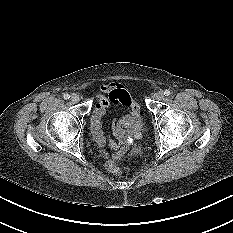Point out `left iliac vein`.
<instances>
[{"mask_svg":"<svg viewBox=\"0 0 233 233\" xmlns=\"http://www.w3.org/2000/svg\"><path fill=\"white\" fill-rule=\"evenodd\" d=\"M155 99L157 100H162L164 98V93L163 91H158L157 93H155L154 95Z\"/></svg>","mask_w":233,"mask_h":233,"instance_id":"left-iliac-vein-1","label":"left iliac vein"}]
</instances>
